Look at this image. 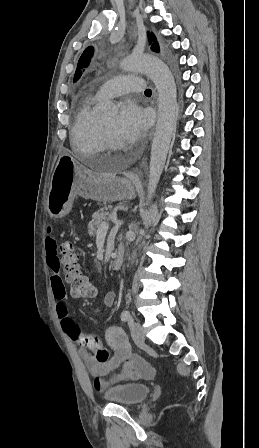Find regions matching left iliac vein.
<instances>
[{
	"mask_svg": "<svg viewBox=\"0 0 259 448\" xmlns=\"http://www.w3.org/2000/svg\"><path fill=\"white\" fill-rule=\"evenodd\" d=\"M131 336L135 343H143L145 341V333L140 323L134 322L131 326Z\"/></svg>",
	"mask_w": 259,
	"mask_h": 448,
	"instance_id": "1",
	"label": "left iliac vein"
}]
</instances>
